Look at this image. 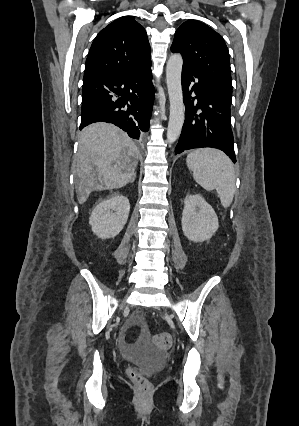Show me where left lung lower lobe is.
I'll return each mask as SVG.
<instances>
[{"label":"left lung lower lobe","mask_w":299,"mask_h":426,"mask_svg":"<svg viewBox=\"0 0 299 426\" xmlns=\"http://www.w3.org/2000/svg\"><path fill=\"white\" fill-rule=\"evenodd\" d=\"M182 89L186 121L175 153L193 148L213 147L224 151L235 163L230 110L232 97L185 65L182 68ZM192 93L196 96L192 97Z\"/></svg>","instance_id":"obj_1"}]
</instances>
